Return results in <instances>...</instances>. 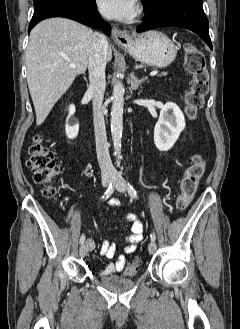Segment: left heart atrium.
<instances>
[{
	"label": "left heart atrium",
	"instance_id": "1",
	"mask_svg": "<svg viewBox=\"0 0 240 329\" xmlns=\"http://www.w3.org/2000/svg\"><path fill=\"white\" fill-rule=\"evenodd\" d=\"M101 13L110 19L129 20L136 14L135 0H98Z\"/></svg>",
	"mask_w": 240,
	"mask_h": 329
}]
</instances>
